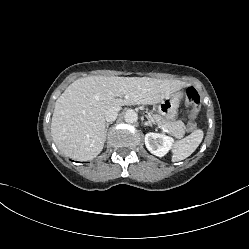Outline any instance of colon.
Instances as JSON below:
<instances>
[{
  "label": "colon",
  "mask_w": 249,
  "mask_h": 249,
  "mask_svg": "<svg viewBox=\"0 0 249 249\" xmlns=\"http://www.w3.org/2000/svg\"><path fill=\"white\" fill-rule=\"evenodd\" d=\"M186 107L189 110L188 130L193 131L196 128L195 118L200 108V96L198 92L190 87L185 92Z\"/></svg>",
  "instance_id": "obj_1"
}]
</instances>
